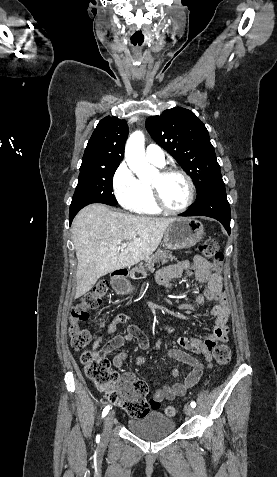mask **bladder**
Wrapping results in <instances>:
<instances>
[{"mask_svg": "<svg viewBox=\"0 0 277 477\" xmlns=\"http://www.w3.org/2000/svg\"><path fill=\"white\" fill-rule=\"evenodd\" d=\"M175 421L165 414L157 411L148 413L146 416L127 421V428L135 435L147 439L157 440L174 432Z\"/></svg>", "mask_w": 277, "mask_h": 477, "instance_id": "1", "label": "bladder"}]
</instances>
